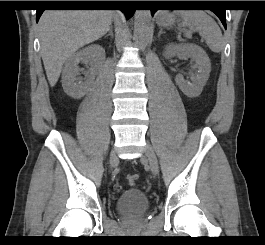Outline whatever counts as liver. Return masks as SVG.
<instances>
[{
  "instance_id": "6515ba94",
  "label": "liver",
  "mask_w": 265,
  "mask_h": 245,
  "mask_svg": "<svg viewBox=\"0 0 265 245\" xmlns=\"http://www.w3.org/2000/svg\"><path fill=\"white\" fill-rule=\"evenodd\" d=\"M115 13L109 10H48L39 20L41 56L51 87L63 64L81 47L104 36Z\"/></svg>"
}]
</instances>
